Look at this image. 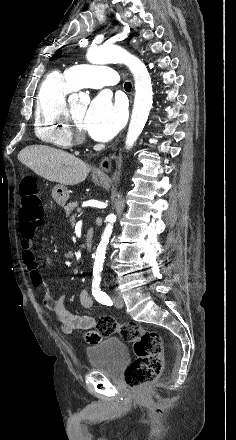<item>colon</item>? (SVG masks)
Instances as JSON below:
<instances>
[{"label":"colon","mask_w":236,"mask_h":440,"mask_svg":"<svg viewBox=\"0 0 236 440\" xmlns=\"http://www.w3.org/2000/svg\"><path fill=\"white\" fill-rule=\"evenodd\" d=\"M19 195L20 230L25 237L30 238L44 223V204L33 178L26 177L21 181ZM95 330H100L102 337L87 341L98 342L118 333L124 341L133 344L136 358L125 372V382L129 388L138 389L159 377L163 369V345L156 331L146 330L136 322L119 324L108 316L99 318Z\"/></svg>","instance_id":"5ec220e1"}]
</instances>
